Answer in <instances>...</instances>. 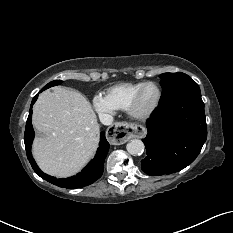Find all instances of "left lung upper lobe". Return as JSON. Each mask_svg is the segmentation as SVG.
I'll list each match as a JSON object with an SVG mask.
<instances>
[{
  "label": "left lung upper lobe",
  "instance_id": "1",
  "mask_svg": "<svg viewBox=\"0 0 233 233\" xmlns=\"http://www.w3.org/2000/svg\"><path fill=\"white\" fill-rule=\"evenodd\" d=\"M159 77L163 89L160 104L186 92L200 91L198 84L184 73H164Z\"/></svg>",
  "mask_w": 233,
  "mask_h": 233
}]
</instances>
